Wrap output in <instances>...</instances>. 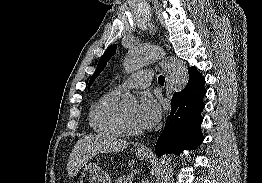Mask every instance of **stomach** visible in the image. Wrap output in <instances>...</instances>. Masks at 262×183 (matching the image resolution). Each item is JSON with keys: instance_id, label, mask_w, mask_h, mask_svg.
Listing matches in <instances>:
<instances>
[{"instance_id": "stomach-1", "label": "stomach", "mask_w": 262, "mask_h": 183, "mask_svg": "<svg viewBox=\"0 0 262 183\" xmlns=\"http://www.w3.org/2000/svg\"><path fill=\"white\" fill-rule=\"evenodd\" d=\"M136 156L144 160L149 157V153L137 151ZM77 183H111V179L97 164L89 163L83 167Z\"/></svg>"}]
</instances>
